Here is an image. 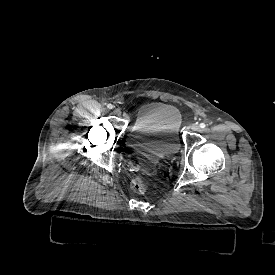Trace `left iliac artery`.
<instances>
[{
	"mask_svg": "<svg viewBox=\"0 0 275 275\" xmlns=\"http://www.w3.org/2000/svg\"><path fill=\"white\" fill-rule=\"evenodd\" d=\"M200 127H201V128H205V127H206V124L201 123V124H200Z\"/></svg>",
	"mask_w": 275,
	"mask_h": 275,
	"instance_id": "left-iliac-artery-1",
	"label": "left iliac artery"
}]
</instances>
